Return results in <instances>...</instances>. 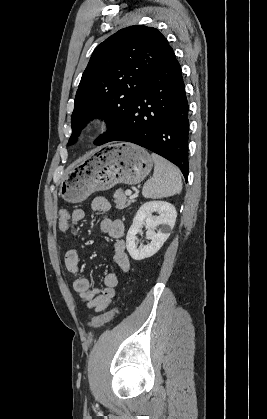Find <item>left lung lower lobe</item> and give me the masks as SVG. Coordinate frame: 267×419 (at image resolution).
<instances>
[{
    "instance_id": "0a47b994",
    "label": "left lung lower lobe",
    "mask_w": 267,
    "mask_h": 419,
    "mask_svg": "<svg viewBox=\"0 0 267 419\" xmlns=\"http://www.w3.org/2000/svg\"><path fill=\"white\" fill-rule=\"evenodd\" d=\"M188 112L181 67L169 47L127 115L119 123L108 126V131L95 144L111 141L135 143L177 165L187 180Z\"/></svg>"
}]
</instances>
